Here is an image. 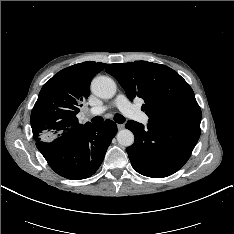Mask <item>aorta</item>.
I'll list each match as a JSON object with an SVG mask.
<instances>
[{
  "mask_svg": "<svg viewBox=\"0 0 234 234\" xmlns=\"http://www.w3.org/2000/svg\"><path fill=\"white\" fill-rule=\"evenodd\" d=\"M92 92L103 99H111L116 94V84L107 76H98L91 84ZM117 141L121 146H131L134 143V135L128 129H122L117 133Z\"/></svg>",
  "mask_w": 234,
  "mask_h": 234,
  "instance_id": "762f6f07",
  "label": "aorta"
}]
</instances>
